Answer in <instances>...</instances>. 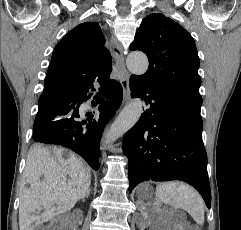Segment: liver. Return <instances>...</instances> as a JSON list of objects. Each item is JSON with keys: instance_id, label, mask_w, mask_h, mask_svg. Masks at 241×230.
<instances>
[{"instance_id": "6515ba94", "label": "liver", "mask_w": 241, "mask_h": 230, "mask_svg": "<svg viewBox=\"0 0 241 230\" xmlns=\"http://www.w3.org/2000/svg\"><path fill=\"white\" fill-rule=\"evenodd\" d=\"M63 153L62 148L39 145L28 153L20 193V230H32L34 222H46L72 209L86 195L91 184L90 170L74 154L64 158Z\"/></svg>"}]
</instances>
